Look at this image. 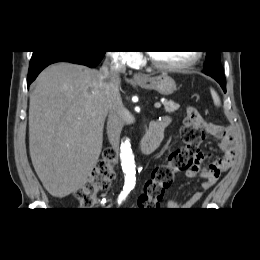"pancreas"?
<instances>
[{
    "label": "pancreas",
    "instance_id": "obj_1",
    "mask_svg": "<svg viewBox=\"0 0 260 260\" xmlns=\"http://www.w3.org/2000/svg\"><path fill=\"white\" fill-rule=\"evenodd\" d=\"M162 104L164 105V111L166 113H174L179 109V104L171 100L170 101L165 100Z\"/></svg>",
    "mask_w": 260,
    "mask_h": 260
}]
</instances>
